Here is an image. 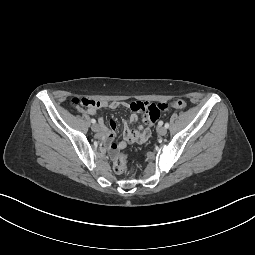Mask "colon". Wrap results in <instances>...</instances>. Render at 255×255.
I'll use <instances>...</instances> for the list:
<instances>
[{"mask_svg": "<svg viewBox=\"0 0 255 255\" xmlns=\"http://www.w3.org/2000/svg\"><path fill=\"white\" fill-rule=\"evenodd\" d=\"M171 106L176 108V109H184L187 106V103L183 99H177L172 102H170ZM73 105L76 108H79L80 105L83 106H95L97 105V101L88 99V98H75L73 99ZM114 153V162H113V168L114 171L118 174H123V173H129V174H135L136 173V168L134 166L128 168L127 167V162H126V155L121 152L120 150H117Z\"/></svg>", "mask_w": 255, "mask_h": 255, "instance_id": "colon-1", "label": "colon"}]
</instances>
